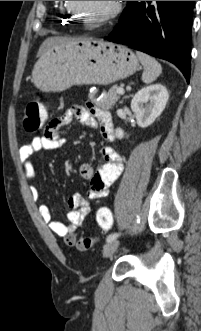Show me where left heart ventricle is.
<instances>
[{
	"label": "left heart ventricle",
	"mask_w": 201,
	"mask_h": 331,
	"mask_svg": "<svg viewBox=\"0 0 201 331\" xmlns=\"http://www.w3.org/2000/svg\"><path fill=\"white\" fill-rule=\"evenodd\" d=\"M76 10L88 20H94L110 10L113 1H72Z\"/></svg>",
	"instance_id": "obj_1"
}]
</instances>
